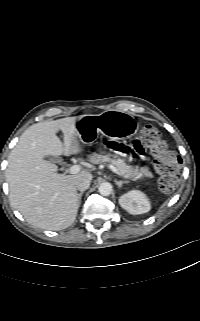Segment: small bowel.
Returning a JSON list of instances; mask_svg holds the SVG:
<instances>
[{
    "label": "small bowel",
    "mask_w": 200,
    "mask_h": 321,
    "mask_svg": "<svg viewBox=\"0 0 200 321\" xmlns=\"http://www.w3.org/2000/svg\"><path fill=\"white\" fill-rule=\"evenodd\" d=\"M101 144L103 146H108L109 149L120 152L124 156L131 157L134 162L139 163L143 158L147 156V151L144 148V145L141 142L139 137H133L131 139V144L124 141H116L114 139H109L108 137H103L101 139Z\"/></svg>",
    "instance_id": "small-bowel-1"
}]
</instances>
